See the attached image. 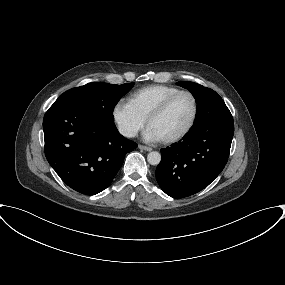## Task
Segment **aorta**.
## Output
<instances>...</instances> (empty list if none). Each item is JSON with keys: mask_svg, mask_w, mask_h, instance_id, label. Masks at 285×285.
<instances>
[{"mask_svg": "<svg viewBox=\"0 0 285 285\" xmlns=\"http://www.w3.org/2000/svg\"><path fill=\"white\" fill-rule=\"evenodd\" d=\"M148 163L158 165L161 161V154L157 151L150 152L147 156Z\"/></svg>", "mask_w": 285, "mask_h": 285, "instance_id": "762f6f07", "label": "aorta"}]
</instances>
